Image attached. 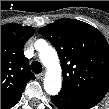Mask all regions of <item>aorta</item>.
Wrapping results in <instances>:
<instances>
[{
	"label": "aorta",
	"mask_w": 109,
	"mask_h": 109,
	"mask_svg": "<svg viewBox=\"0 0 109 109\" xmlns=\"http://www.w3.org/2000/svg\"><path fill=\"white\" fill-rule=\"evenodd\" d=\"M39 58L46 67L44 90L49 95H57L62 86V72L56 50L43 42L39 48Z\"/></svg>",
	"instance_id": "obj_1"
}]
</instances>
